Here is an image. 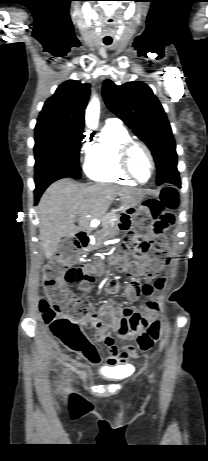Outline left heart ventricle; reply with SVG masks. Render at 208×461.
<instances>
[{
  "mask_svg": "<svg viewBox=\"0 0 208 461\" xmlns=\"http://www.w3.org/2000/svg\"><path fill=\"white\" fill-rule=\"evenodd\" d=\"M130 165L133 173L142 181L148 179L151 173V164L147 154L141 149L133 150L130 157Z\"/></svg>",
  "mask_w": 208,
  "mask_h": 461,
  "instance_id": "1",
  "label": "left heart ventricle"
}]
</instances>
